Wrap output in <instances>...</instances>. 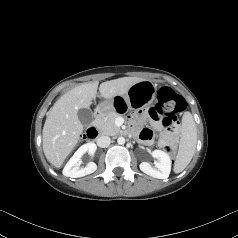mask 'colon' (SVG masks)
<instances>
[{"label":"colon","instance_id":"1","mask_svg":"<svg viewBox=\"0 0 238 238\" xmlns=\"http://www.w3.org/2000/svg\"><path fill=\"white\" fill-rule=\"evenodd\" d=\"M154 107L157 113L163 116L162 124L168 133H175L178 127L177 114L186 108L185 99L169 87H162L157 93V101ZM152 118V117H151ZM161 147L167 153H173L174 143L163 139Z\"/></svg>","mask_w":238,"mask_h":238}]
</instances>
